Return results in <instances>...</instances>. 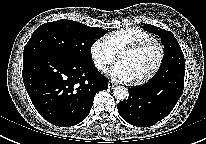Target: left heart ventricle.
I'll use <instances>...</instances> for the list:
<instances>
[{"instance_id":"left-heart-ventricle-1","label":"left heart ventricle","mask_w":206,"mask_h":144,"mask_svg":"<svg viewBox=\"0 0 206 144\" xmlns=\"http://www.w3.org/2000/svg\"><path fill=\"white\" fill-rule=\"evenodd\" d=\"M157 57V50L149 46L139 52L124 54L119 61L125 64L134 76V80L146 75L153 67Z\"/></svg>"}]
</instances>
